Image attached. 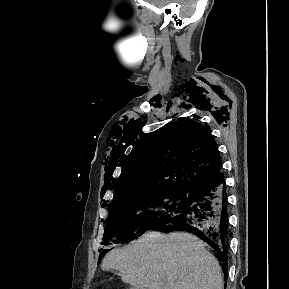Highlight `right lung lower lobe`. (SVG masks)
I'll return each mask as SVG.
<instances>
[{
	"label": "right lung lower lobe",
	"instance_id": "obj_1",
	"mask_svg": "<svg viewBox=\"0 0 289 289\" xmlns=\"http://www.w3.org/2000/svg\"><path fill=\"white\" fill-rule=\"evenodd\" d=\"M155 230L187 231L198 236L214 250L227 279V253L232 233L228 223V201L223 173L195 186L191 190L187 208Z\"/></svg>",
	"mask_w": 289,
	"mask_h": 289
}]
</instances>
